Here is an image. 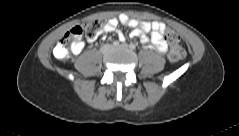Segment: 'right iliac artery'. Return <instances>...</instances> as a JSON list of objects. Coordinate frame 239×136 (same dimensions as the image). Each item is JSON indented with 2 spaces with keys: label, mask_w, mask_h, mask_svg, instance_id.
<instances>
[{
  "label": "right iliac artery",
  "mask_w": 239,
  "mask_h": 136,
  "mask_svg": "<svg viewBox=\"0 0 239 136\" xmlns=\"http://www.w3.org/2000/svg\"><path fill=\"white\" fill-rule=\"evenodd\" d=\"M113 45H114V46H118V45H119V42H118V41H114V42H113Z\"/></svg>",
  "instance_id": "obj_1"
}]
</instances>
